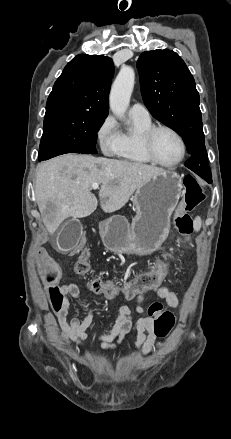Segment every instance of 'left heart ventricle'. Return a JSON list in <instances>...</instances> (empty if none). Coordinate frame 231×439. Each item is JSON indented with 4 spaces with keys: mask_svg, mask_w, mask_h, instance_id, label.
<instances>
[{
    "mask_svg": "<svg viewBox=\"0 0 231 439\" xmlns=\"http://www.w3.org/2000/svg\"><path fill=\"white\" fill-rule=\"evenodd\" d=\"M153 148L157 158L164 163L175 162L181 154L178 139L165 130L156 133L153 139Z\"/></svg>",
    "mask_w": 231,
    "mask_h": 439,
    "instance_id": "left-heart-ventricle-1",
    "label": "left heart ventricle"
}]
</instances>
